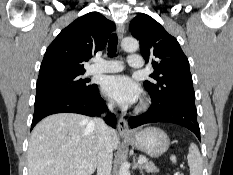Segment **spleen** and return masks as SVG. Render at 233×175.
<instances>
[{"label":"spleen","instance_id":"3e777b00","mask_svg":"<svg viewBox=\"0 0 233 175\" xmlns=\"http://www.w3.org/2000/svg\"><path fill=\"white\" fill-rule=\"evenodd\" d=\"M187 159L190 175H202L203 161L196 144H190Z\"/></svg>","mask_w":233,"mask_h":175}]
</instances>
